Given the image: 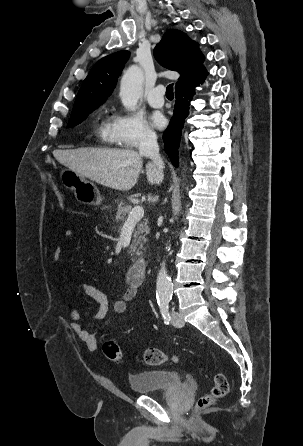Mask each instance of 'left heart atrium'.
Listing matches in <instances>:
<instances>
[{
  "label": "left heart atrium",
  "mask_w": 303,
  "mask_h": 446,
  "mask_svg": "<svg viewBox=\"0 0 303 446\" xmlns=\"http://www.w3.org/2000/svg\"><path fill=\"white\" fill-rule=\"evenodd\" d=\"M151 119L153 125L158 129H163L167 124L166 118L161 113H154Z\"/></svg>",
  "instance_id": "39dd6f15"
}]
</instances>
